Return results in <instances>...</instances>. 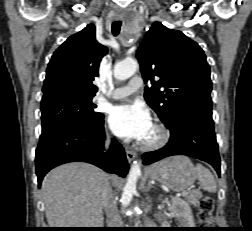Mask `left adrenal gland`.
<instances>
[{
    "mask_svg": "<svg viewBox=\"0 0 252 231\" xmlns=\"http://www.w3.org/2000/svg\"><path fill=\"white\" fill-rule=\"evenodd\" d=\"M153 186L151 185L150 182H148L147 187L145 189L146 192H148Z\"/></svg>",
    "mask_w": 252,
    "mask_h": 231,
    "instance_id": "obj_1",
    "label": "left adrenal gland"
}]
</instances>
